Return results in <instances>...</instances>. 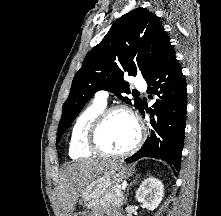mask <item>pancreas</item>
<instances>
[{
	"label": "pancreas",
	"mask_w": 221,
	"mask_h": 216,
	"mask_svg": "<svg viewBox=\"0 0 221 216\" xmlns=\"http://www.w3.org/2000/svg\"><path fill=\"white\" fill-rule=\"evenodd\" d=\"M121 192V187L113 186L104 196L96 201V204L121 206L123 205L124 199V196Z\"/></svg>",
	"instance_id": "cf45deb5"
}]
</instances>
